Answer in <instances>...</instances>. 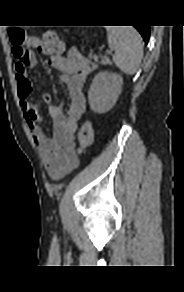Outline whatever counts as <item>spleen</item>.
<instances>
[{"label": "spleen", "instance_id": "1", "mask_svg": "<svg viewBox=\"0 0 184 292\" xmlns=\"http://www.w3.org/2000/svg\"><path fill=\"white\" fill-rule=\"evenodd\" d=\"M108 44L115 65L126 75L136 73L143 57L142 38L133 27H108Z\"/></svg>", "mask_w": 184, "mask_h": 292}]
</instances>
